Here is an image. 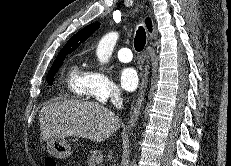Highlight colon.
I'll list each match as a JSON object with an SVG mask.
<instances>
[{
    "label": "colon",
    "mask_w": 231,
    "mask_h": 166,
    "mask_svg": "<svg viewBox=\"0 0 231 166\" xmlns=\"http://www.w3.org/2000/svg\"><path fill=\"white\" fill-rule=\"evenodd\" d=\"M44 166H57V163L54 158L48 157L45 159Z\"/></svg>",
    "instance_id": "colon-1"
}]
</instances>
